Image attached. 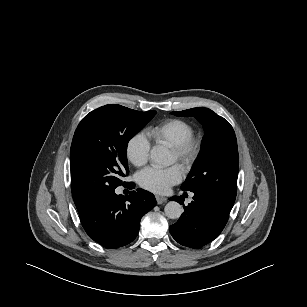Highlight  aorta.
I'll return each mask as SVG.
<instances>
[{
	"label": "aorta",
	"instance_id": "1",
	"mask_svg": "<svg viewBox=\"0 0 307 307\" xmlns=\"http://www.w3.org/2000/svg\"><path fill=\"white\" fill-rule=\"evenodd\" d=\"M152 163L160 166L170 165L168 151L162 146H154L150 152ZM165 215L170 219H179L182 215V206L176 201H170L164 208Z\"/></svg>",
	"mask_w": 307,
	"mask_h": 307
}]
</instances>
